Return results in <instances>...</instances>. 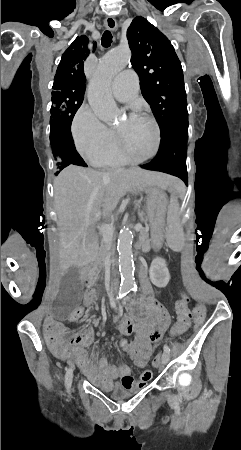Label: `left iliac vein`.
Here are the masks:
<instances>
[{
  "label": "left iliac vein",
  "instance_id": "4c4485c4",
  "mask_svg": "<svg viewBox=\"0 0 241 450\" xmlns=\"http://www.w3.org/2000/svg\"><path fill=\"white\" fill-rule=\"evenodd\" d=\"M170 361V356L168 353L164 352L162 355V365L165 366L169 363Z\"/></svg>",
  "mask_w": 241,
  "mask_h": 450
}]
</instances>
